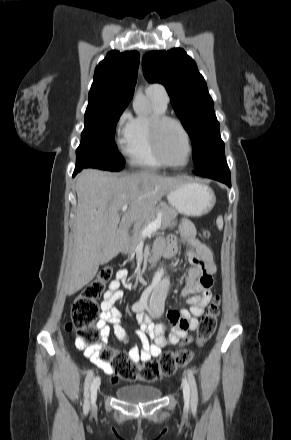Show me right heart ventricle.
Listing matches in <instances>:
<instances>
[{
  "mask_svg": "<svg viewBox=\"0 0 291 440\" xmlns=\"http://www.w3.org/2000/svg\"><path fill=\"white\" fill-rule=\"evenodd\" d=\"M151 101L152 113L149 116L138 115L132 117L131 132L124 147L128 162L135 167L161 168L164 165L156 157L148 128V120L152 115H165L166 105L161 104L153 97Z\"/></svg>",
  "mask_w": 291,
  "mask_h": 440,
  "instance_id": "obj_1",
  "label": "right heart ventricle"
}]
</instances>
